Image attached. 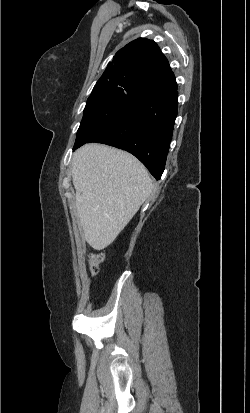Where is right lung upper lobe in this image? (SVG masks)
<instances>
[{
  "label": "right lung upper lobe",
  "instance_id": "obj_1",
  "mask_svg": "<svg viewBox=\"0 0 250 413\" xmlns=\"http://www.w3.org/2000/svg\"><path fill=\"white\" fill-rule=\"evenodd\" d=\"M116 87L146 95L177 87L175 76L157 44L139 38L120 49L94 88Z\"/></svg>",
  "mask_w": 250,
  "mask_h": 413
}]
</instances>
